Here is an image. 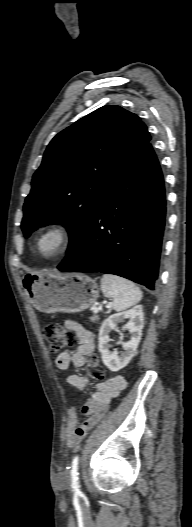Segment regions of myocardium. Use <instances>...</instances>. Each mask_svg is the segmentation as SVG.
I'll return each mask as SVG.
<instances>
[{
  "instance_id": "obj_1",
  "label": "myocardium",
  "mask_w": 192,
  "mask_h": 527,
  "mask_svg": "<svg viewBox=\"0 0 192 527\" xmlns=\"http://www.w3.org/2000/svg\"><path fill=\"white\" fill-rule=\"evenodd\" d=\"M49 234L57 236V244L48 252H45L41 247L42 239ZM73 241V231L71 227L63 221H54L41 227L35 234L33 240L34 251L37 256L43 260H51L57 258L70 248Z\"/></svg>"
}]
</instances>
